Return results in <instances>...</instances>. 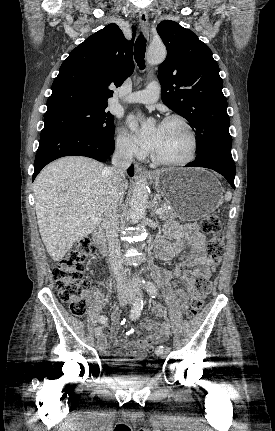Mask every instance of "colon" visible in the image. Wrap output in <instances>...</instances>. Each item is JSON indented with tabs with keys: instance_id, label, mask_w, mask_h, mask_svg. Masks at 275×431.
Listing matches in <instances>:
<instances>
[{
	"instance_id": "5ec220e1",
	"label": "colon",
	"mask_w": 275,
	"mask_h": 431,
	"mask_svg": "<svg viewBox=\"0 0 275 431\" xmlns=\"http://www.w3.org/2000/svg\"><path fill=\"white\" fill-rule=\"evenodd\" d=\"M201 230L210 235L207 244V253L215 263H218L224 254L225 245L222 235V225L217 215L208 214L200 221ZM95 248L89 239H81L54 267L52 277L60 299L69 305L70 311L76 316H83L87 310L88 297L92 287L83 276L84 266L94 254ZM210 292V280L206 275L200 276L196 281L195 293L187 310V317L193 319L202 309ZM147 352L151 347L146 348ZM151 365L158 360L151 357Z\"/></svg>"
}]
</instances>
